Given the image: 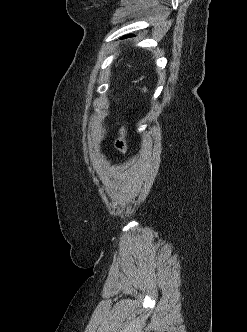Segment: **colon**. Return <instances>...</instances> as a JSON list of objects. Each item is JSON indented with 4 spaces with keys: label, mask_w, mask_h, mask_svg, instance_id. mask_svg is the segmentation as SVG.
<instances>
[{
    "label": "colon",
    "mask_w": 247,
    "mask_h": 332,
    "mask_svg": "<svg viewBox=\"0 0 247 332\" xmlns=\"http://www.w3.org/2000/svg\"><path fill=\"white\" fill-rule=\"evenodd\" d=\"M126 136H127V129L125 126H122L119 130L118 138L114 141L115 149L121 154H125L127 152V144L125 139Z\"/></svg>",
    "instance_id": "1"
}]
</instances>
